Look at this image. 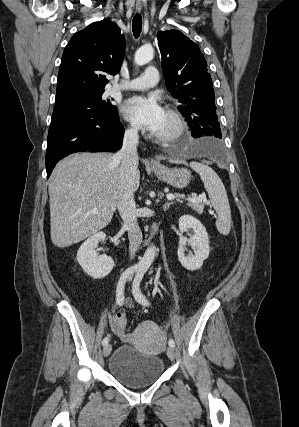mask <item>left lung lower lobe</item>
Returning <instances> with one entry per match:
<instances>
[{
	"mask_svg": "<svg viewBox=\"0 0 299 427\" xmlns=\"http://www.w3.org/2000/svg\"><path fill=\"white\" fill-rule=\"evenodd\" d=\"M194 113L195 115H185L186 120L188 121L189 126L191 127L192 136L194 138H200L202 136L215 137L213 135V132L210 130V124L212 121V119L209 118L210 110L208 108H195ZM193 151L208 154L216 159L223 158L220 144L217 142H214L212 144L199 142L194 146Z\"/></svg>",
	"mask_w": 299,
	"mask_h": 427,
	"instance_id": "1",
	"label": "left lung lower lobe"
}]
</instances>
